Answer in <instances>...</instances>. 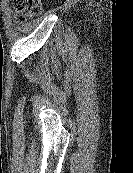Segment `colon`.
I'll return each mask as SVG.
<instances>
[{
  "label": "colon",
  "instance_id": "1",
  "mask_svg": "<svg viewBox=\"0 0 133 173\" xmlns=\"http://www.w3.org/2000/svg\"><path fill=\"white\" fill-rule=\"evenodd\" d=\"M17 12L23 15H37L40 13V0H13Z\"/></svg>",
  "mask_w": 133,
  "mask_h": 173
}]
</instances>
